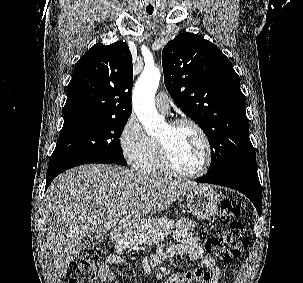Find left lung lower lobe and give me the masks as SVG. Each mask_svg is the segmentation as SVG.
Returning <instances> with one entry per match:
<instances>
[{
    "label": "left lung lower lobe",
    "mask_w": 303,
    "mask_h": 283,
    "mask_svg": "<svg viewBox=\"0 0 303 283\" xmlns=\"http://www.w3.org/2000/svg\"><path fill=\"white\" fill-rule=\"evenodd\" d=\"M200 183H211L230 187L246 195L261 213V185L257 173L256 160H251L222 172L206 175L196 180Z\"/></svg>",
    "instance_id": "left-lung-lower-lobe-1"
}]
</instances>
